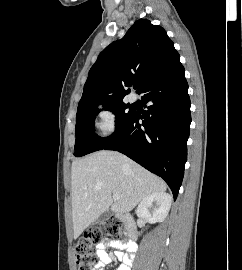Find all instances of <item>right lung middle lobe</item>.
<instances>
[{
    "mask_svg": "<svg viewBox=\"0 0 242 270\" xmlns=\"http://www.w3.org/2000/svg\"><path fill=\"white\" fill-rule=\"evenodd\" d=\"M105 110L112 111L116 116L115 132L106 138H101L94 133L93 126L96 115L100 112L97 105L88 109L77 111L76 115V141L75 156H84L97 150H101L114 136H116L133 114V110H127L128 104L123 100L102 103Z\"/></svg>",
    "mask_w": 242,
    "mask_h": 270,
    "instance_id": "obj_1",
    "label": "right lung middle lobe"
}]
</instances>
